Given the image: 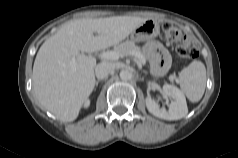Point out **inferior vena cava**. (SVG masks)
<instances>
[{
	"label": "inferior vena cava",
	"instance_id": "inferior-vena-cava-1",
	"mask_svg": "<svg viewBox=\"0 0 238 158\" xmlns=\"http://www.w3.org/2000/svg\"><path fill=\"white\" fill-rule=\"evenodd\" d=\"M113 70L111 64L102 62L95 67V75L99 80L106 78Z\"/></svg>",
	"mask_w": 238,
	"mask_h": 158
}]
</instances>
